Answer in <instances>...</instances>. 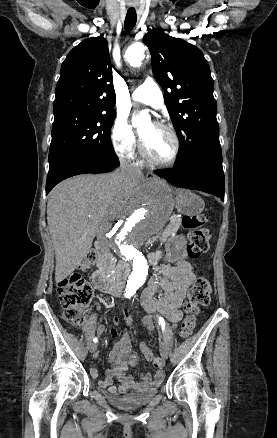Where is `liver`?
Returning a JSON list of instances; mask_svg holds the SVG:
<instances>
[{"instance_id": "obj_1", "label": "liver", "mask_w": 277, "mask_h": 438, "mask_svg": "<svg viewBox=\"0 0 277 438\" xmlns=\"http://www.w3.org/2000/svg\"><path fill=\"white\" fill-rule=\"evenodd\" d=\"M141 176L125 180L120 172L82 174L64 180L49 194L47 222L55 250L57 284L79 268L98 232L110 230L121 205H127V188Z\"/></svg>"}]
</instances>
